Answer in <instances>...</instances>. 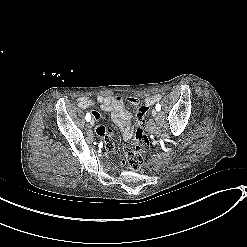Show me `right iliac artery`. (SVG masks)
Returning a JSON list of instances; mask_svg holds the SVG:
<instances>
[{
    "label": "right iliac artery",
    "mask_w": 247,
    "mask_h": 247,
    "mask_svg": "<svg viewBox=\"0 0 247 247\" xmlns=\"http://www.w3.org/2000/svg\"><path fill=\"white\" fill-rule=\"evenodd\" d=\"M85 118H86L87 121H90V120H91V115H90V113H87L86 116H85Z\"/></svg>",
    "instance_id": "right-iliac-artery-1"
}]
</instances>
